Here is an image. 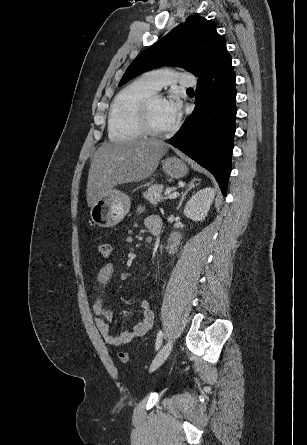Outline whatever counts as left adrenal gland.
I'll list each match as a JSON object with an SVG mask.
<instances>
[{
	"instance_id": "obj_1",
	"label": "left adrenal gland",
	"mask_w": 307,
	"mask_h": 445,
	"mask_svg": "<svg viewBox=\"0 0 307 445\" xmlns=\"http://www.w3.org/2000/svg\"><path fill=\"white\" fill-rule=\"evenodd\" d=\"M195 180H198V178H194V180H190L189 184H187V186H185V192H181V198L179 200V204H178L177 208H180L187 192H189V190H191V188H194V186H197L198 182H195Z\"/></svg>"
}]
</instances>
